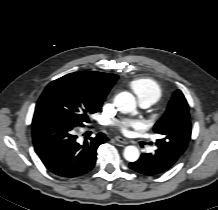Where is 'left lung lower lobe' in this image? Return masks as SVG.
Masks as SVG:
<instances>
[{"label":"left lung lower lobe","mask_w":218,"mask_h":210,"mask_svg":"<svg viewBox=\"0 0 218 210\" xmlns=\"http://www.w3.org/2000/svg\"><path fill=\"white\" fill-rule=\"evenodd\" d=\"M180 156L178 153L167 156L160 148H157L154 153H143L136 162L130 163L129 167L141 174L153 176L170 169Z\"/></svg>","instance_id":"1"}]
</instances>
